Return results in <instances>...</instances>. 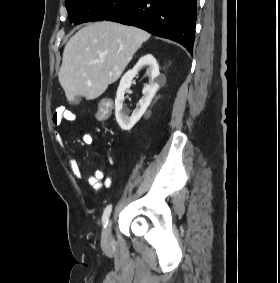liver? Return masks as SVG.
<instances>
[{
	"mask_svg": "<svg viewBox=\"0 0 280 283\" xmlns=\"http://www.w3.org/2000/svg\"><path fill=\"white\" fill-rule=\"evenodd\" d=\"M150 34L142 29L102 21L81 28L67 42L59 82L68 101L93 100L123 73Z\"/></svg>",
	"mask_w": 280,
	"mask_h": 283,
	"instance_id": "6515ba94",
	"label": "liver"
}]
</instances>
